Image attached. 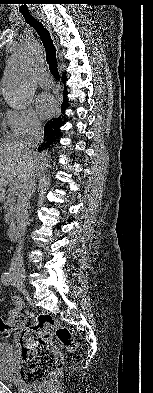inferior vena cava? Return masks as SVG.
Returning a JSON list of instances; mask_svg holds the SVG:
<instances>
[{"label": "inferior vena cava", "mask_w": 153, "mask_h": 393, "mask_svg": "<svg viewBox=\"0 0 153 393\" xmlns=\"http://www.w3.org/2000/svg\"><path fill=\"white\" fill-rule=\"evenodd\" d=\"M44 134L41 128V124L33 121L29 126L27 131V135L24 141L26 148L32 152L36 153V148L38 145L43 142ZM35 171L31 172L29 177L23 182L21 192L18 195L17 204H16V220L17 227L22 239L19 240L18 245L16 247V251L14 252L13 258L11 259L10 264V272L14 275H24V263H23V237L25 236L27 224H28V205L29 200L35 192L36 180H35Z\"/></svg>", "instance_id": "1"}]
</instances>
